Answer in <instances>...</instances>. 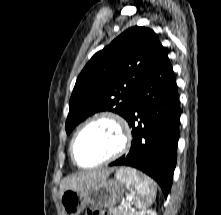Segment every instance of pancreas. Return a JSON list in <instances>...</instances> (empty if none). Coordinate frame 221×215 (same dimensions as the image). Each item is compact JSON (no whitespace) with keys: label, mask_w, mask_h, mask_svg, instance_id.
I'll list each match as a JSON object with an SVG mask.
<instances>
[{"label":"pancreas","mask_w":221,"mask_h":215,"mask_svg":"<svg viewBox=\"0 0 221 215\" xmlns=\"http://www.w3.org/2000/svg\"><path fill=\"white\" fill-rule=\"evenodd\" d=\"M112 215H135L134 212L131 210L130 204L126 203V209L125 210H110Z\"/></svg>","instance_id":"obj_1"}]
</instances>
